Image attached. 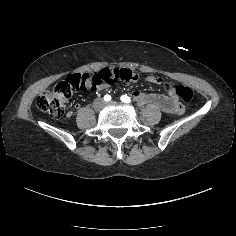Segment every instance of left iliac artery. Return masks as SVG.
I'll use <instances>...</instances> for the list:
<instances>
[{"mask_svg":"<svg viewBox=\"0 0 236 236\" xmlns=\"http://www.w3.org/2000/svg\"><path fill=\"white\" fill-rule=\"evenodd\" d=\"M121 101L124 102V103H130L131 102V99L127 96V95H122L120 97Z\"/></svg>","mask_w":236,"mask_h":236,"instance_id":"obj_1","label":"left iliac artery"}]
</instances>
